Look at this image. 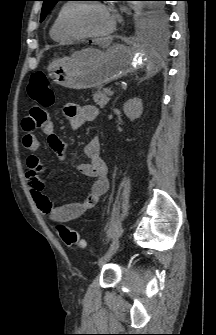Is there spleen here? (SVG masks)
Masks as SVG:
<instances>
[{
	"label": "spleen",
	"instance_id": "obj_1",
	"mask_svg": "<svg viewBox=\"0 0 216 335\" xmlns=\"http://www.w3.org/2000/svg\"><path fill=\"white\" fill-rule=\"evenodd\" d=\"M159 66L158 62L152 55H150L149 60L147 61V73L149 76H153L158 72Z\"/></svg>",
	"mask_w": 216,
	"mask_h": 335
}]
</instances>
